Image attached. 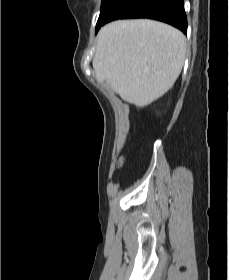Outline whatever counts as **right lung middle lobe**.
I'll list each match as a JSON object with an SVG mask.
<instances>
[{
	"instance_id": "obj_1",
	"label": "right lung middle lobe",
	"mask_w": 229,
	"mask_h": 280,
	"mask_svg": "<svg viewBox=\"0 0 229 280\" xmlns=\"http://www.w3.org/2000/svg\"><path fill=\"white\" fill-rule=\"evenodd\" d=\"M115 1L116 0H102L101 12H100L99 19L97 21L96 28L104 20V18L108 14L109 10L111 9Z\"/></svg>"
}]
</instances>
